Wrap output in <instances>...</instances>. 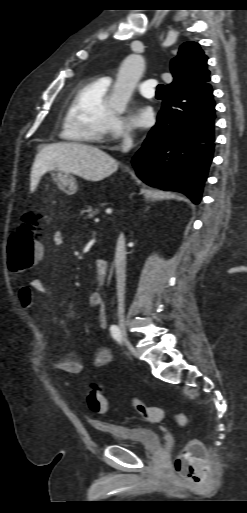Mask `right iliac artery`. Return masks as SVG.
Masks as SVG:
<instances>
[{
    "mask_svg": "<svg viewBox=\"0 0 247 513\" xmlns=\"http://www.w3.org/2000/svg\"><path fill=\"white\" fill-rule=\"evenodd\" d=\"M110 332H111V335L112 337L114 338L115 341H117L119 344H122V335H121V331L120 329L118 328L117 325H112L110 327Z\"/></svg>",
    "mask_w": 247,
    "mask_h": 513,
    "instance_id": "right-iliac-artery-1",
    "label": "right iliac artery"
}]
</instances>
